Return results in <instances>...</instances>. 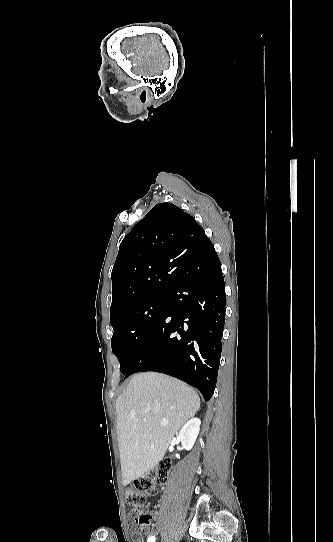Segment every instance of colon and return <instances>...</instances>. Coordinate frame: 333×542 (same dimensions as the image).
I'll return each instance as SVG.
<instances>
[{"label": "colon", "instance_id": "obj_1", "mask_svg": "<svg viewBox=\"0 0 333 542\" xmlns=\"http://www.w3.org/2000/svg\"><path fill=\"white\" fill-rule=\"evenodd\" d=\"M170 466V461H162L147 475L138 478L134 486L127 490L126 502L130 506L129 522L133 529L138 526V529H134L131 534L134 540H141L143 533L148 530L151 517L147 513L149 511V504L146 502L147 496H155L159 488L166 483Z\"/></svg>", "mask_w": 333, "mask_h": 542}]
</instances>
